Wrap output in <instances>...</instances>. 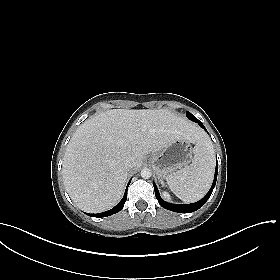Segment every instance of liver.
I'll return each instance as SVG.
<instances>
[{
    "mask_svg": "<svg viewBox=\"0 0 280 280\" xmlns=\"http://www.w3.org/2000/svg\"><path fill=\"white\" fill-rule=\"evenodd\" d=\"M182 138L191 143L205 140L199 127L165 109L97 114L77 128L67 145L62 165L66 190L80 209L106 211L123 194L129 171L123 163L126 156L135 158L130 169H137L149 152Z\"/></svg>",
    "mask_w": 280,
    "mask_h": 280,
    "instance_id": "1",
    "label": "liver"
}]
</instances>
